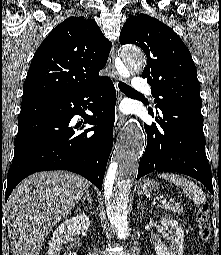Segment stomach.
<instances>
[{"instance_id":"0dacf381","label":"stomach","mask_w":221,"mask_h":255,"mask_svg":"<svg viewBox=\"0 0 221 255\" xmlns=\"http://www.w3.org/2000/svg\"><path fill=\"white\" fill-rule=\"evenodd\" d=\"M158 189V184L154 180L146 179L143 180L137 187L138 194L151 193Z\"/></svg>"}]
</instances>
